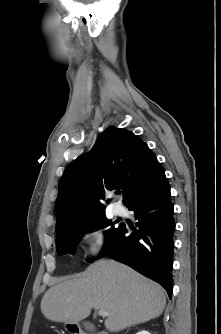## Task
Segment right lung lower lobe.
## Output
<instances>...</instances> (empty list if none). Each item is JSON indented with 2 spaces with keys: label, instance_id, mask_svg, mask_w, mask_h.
Segmentation results:
<instances>
[{
  "label": "right lung lower lobe",
  "instance_id": "98d812e1",
  "mask_svg": "<svg viewBox=\"0 0 221 334\" xmlns=\"http://www.w3.org/2000/svg\"><path fill=\"white\" fill-rule=\"evenodd\" d=\"M127 207L135 212L139 229L126 236L128 230L123 225L105 251L162 285L171 298L175 221L165 174Z\"/></svg>",
  "mask_w": 221,
  "mask_h": 334
}]
</instances>
